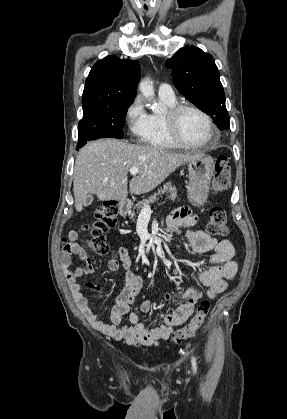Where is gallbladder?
Masks as SVG:
<instances>
[{"mask_svg":"<svg viewBox=\"0 0 287 419\" xmlns=\"http://www.w3.org/2000/svg\"><path fill=\"white\" fill-rule=\"evenodd\" d=\"M92 202H93V196L89 195V196L86 198V200H85V202H84L83 206H84V207H88L89 205H91V203H92Z\"/></svg>","mask_w":287,"mask_h":419,"instance_id":"gallbladder-1","label":"gallbladder"}]
</instances>
